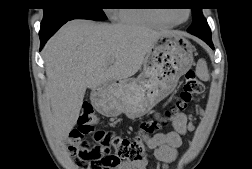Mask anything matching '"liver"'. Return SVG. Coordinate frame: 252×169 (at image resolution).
I'll use <instances>...</instances> for the list:
<instances>
[{
  "mask_svg": "<svg viewBox=\"0 0 252 169\" xmlns=\"http://www.w3.org/2000/svg\"><path fill=\"white\" fill-rule=\"evenodd\" d=\"M171 33L178 32L79 19L66 23L43 49L53 137L63 140L73 129L87 88L130 78L156 41Z\"/></svg>",
  "mask_w": 252,
  "mask_h": 169,
  "instance_id": "liver-1",
  "label": "liver"
}]
</instances>
